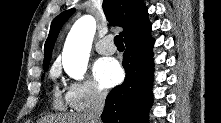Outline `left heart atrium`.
Wrapping results in <instances>:
<instances>
[{"label":"left heart atrium","mask_w":221,"mask_h":123,"mask_svg":"<svg viewBox=\"0 0 221 123\" xmlns=\"http://www.w3.org/2000/svg\"><path fill=\"white\" fill-rule=\"evenodd\" d=\"M93 74L97 82L105 88L118 84L123 76L119 63L109 57L100 58L93 67Z\"/></svg>","instance_id":"left-heart-atrium-1"}]
</instances>
